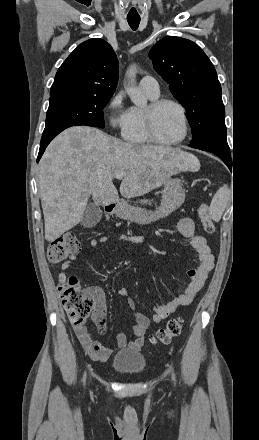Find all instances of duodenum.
<instances>
[{
  "instance_id": "duodenum-1",
  "label": "duodenum",
  "mask_w": 259,
  "mask_h": 440,
  "mask_svg": "<svg viewBox=\"0 0 259 440\" xmlns=\"http://www.w3.org/2000/svg\"><path fill=\"white\" fill-rule=\"evenodd\" d=\"M119 206L118 201H112L105 206V211L107 214H113Z\"/></svg>"
}]
</instances>
